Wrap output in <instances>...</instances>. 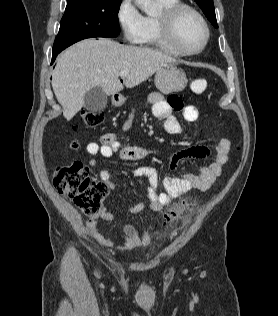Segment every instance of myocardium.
I'll list each match as a JSON object with an SVG mask.
<instances>
[{"instance_id":"f54148a6","label":"myocardium","mask_w":278,"mask_h":316,"mask_svg":"<svg viewBox=\"0 0 278 316\" xmlns=\"http://www.w3.org/2000/svg\"><path fill=\"white\" fill-rule=\"evenodd\" d=\"M184 12H190L197 17L205 30V38L202 45L197 49H189L183 45L178 35V20ZM162 32L166 39L181 53L185 55H196L202 52L210 40V27L203 14L194 6L178 2L174 6L162 11L159 17Z\"/></svg>"}]
</instances>
